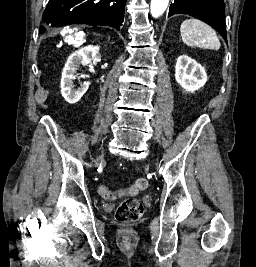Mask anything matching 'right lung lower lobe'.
<instances>
[{
	"label": "right lung lower lobe",
	"instance_id": "right-lung-lower-lobe-1",
	"mask_svg": "<svg viewBox=\"0 0 256 267\" xmlns=\"http://www.w3.org/2000/svg\"><path fill=\"white\" fill-rule=\"evenodd\" d=\"M126 0H49L40 27L70 24L111 25L117 30L123 23Z\"/></svg>",
	"mask_w": 256,
	"mask_h": 267
}]
</instances>
